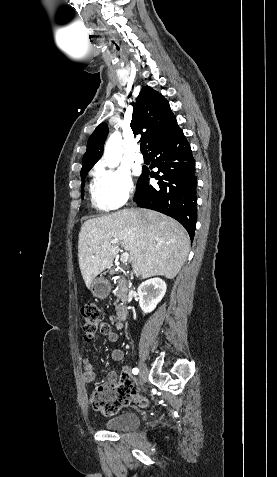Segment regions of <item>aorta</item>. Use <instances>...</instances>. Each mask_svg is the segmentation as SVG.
Returning a JSON list of instances; mask_svg holds the SVG:
<instances>
[{
	"instance_id": "obj_1",
	"label": "aorta",
	"mask_w": 277,
	"mask_h": 477,
	"mask_svg": "<svg viewBox=\"0 0 277 477\" xmlns=\"http://www.w3.org/2000/svg\"><path fill=\"white\" fill-rule=\"evenodd\" d=\"M122 136L118 131H115L108 138L105 149L104 159L109 168H115L119 165L122 158Z\"/></svg>"
}]
</instances>
